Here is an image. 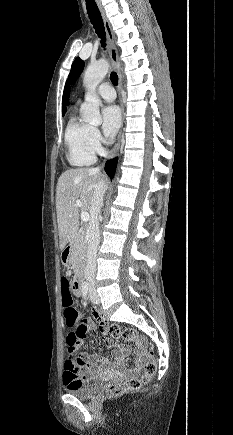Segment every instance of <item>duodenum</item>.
I'll list each match as a JSON object with an SVG mask.
<instances>
[{
	"instance_id": "410a0bca",
	"label": "duodenum",
	"mask_w": 233,
	"mask_h": 435,
	"mask_svg": "<svg viewBox=\"0 0 233 435\" xmlns=\"http://www.w3.org/2000/svg\"><path fill=\"white\" fill-rule=\"evenodd\" d=\"M71 251H72V244L71 243H68L63 247L62 254H61V262L64 265H66L68 263V259H69V255H70ZM82 280H83V272L79 271L76 275L75 282H74L77 295L81 294Z\"/></svg>"
}]
</instances>
